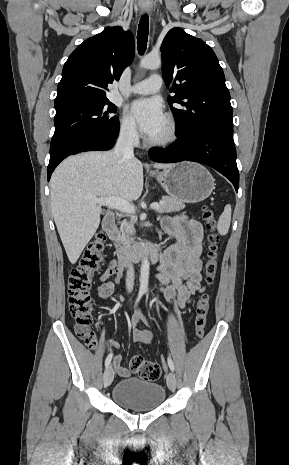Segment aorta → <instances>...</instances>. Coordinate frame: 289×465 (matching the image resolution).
<instances>
[{
  "label": "aorta",
  "mask_w": 289,
  "mask_h": 465,
  "mask_svg": "<svg viewBox=\"0 0 289 465\" xmlns=\"http://www.w3.org/2000/svg\"><path fill=\"white\" fill-rule=\"evenodd\" d=\"M161 66V58L158 55H147L140 61V67L144 69H158ZM149 280V261L147 257L142 260L140 268V290L146 291Z\"/></svg>",
  "instance_id": "762f6f07"
}]
</instances>
